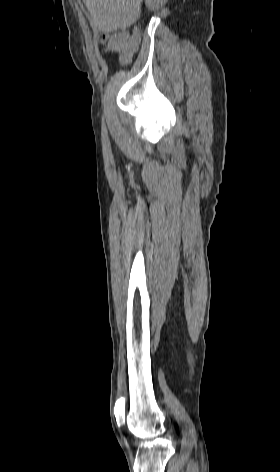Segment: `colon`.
Masks as SVG:
<instances>
[{
	"mask_svg": "<svg viewBox=\"0 0 280 472\" xmlns=\"http://www.w3.org/2000/svg\"><path fill=\"white\" fill-rule=\"evenodd\" d=\"M106 40H107L106 35H101V36L98 37V41L101 42V43L106 42ZM128 60L129 59L127 57L121 56V62L122 63H126V62H128Z\"/></svg>",
	"mask_w": 280,
	"mask_h": 472,
	"instance_id": "colon-1",
	"label": "colon"
}]
</instances>
